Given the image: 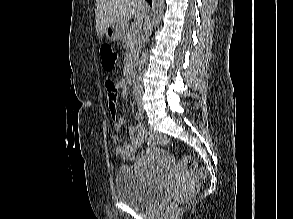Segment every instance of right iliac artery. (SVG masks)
Listing matches in <instances>:
<instances>
[{"instance_id": "82829eb1", "label": "right iliac artery", "mask_w": 293, "mask_h": 219, "mask_svg": "<svg viewBox=\"0 0 293 219\" xmlns=\"http://www.w3.org/2000/svg\"><path fill=\"white\" fill-rule=\"evenodd\" d=\"M135 118L138 121H142L143 120V116H142V114L140 112L136 113Z\"/></svg>"}]
</instances>
